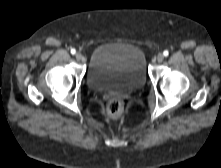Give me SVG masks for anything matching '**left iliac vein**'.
I'll return each mask as SVG.
<instances>
[{"label": "left iliac vein", "mask_w": 221, "mask_h": 168, "mask_svg": "<svg viewBox=\"0 0 221 168\" xmlns=\"http://www.w3.org/2000/svg\"><path fill=\"white\" fill-rule=\"evenodd\" d=\"M164 60V55L162 54V53H159L158 55H157V61L160 63V62H162Z\"/></svg>", "instance_id": "1"}]
</instances>
